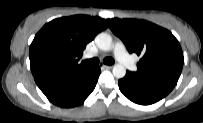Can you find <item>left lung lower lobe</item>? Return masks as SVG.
<instances>
[{"label":"left lung lower lobe","mask_w":203,"mask_h":123,"mask_svg":"<svg viewBox=\"0 0 203 123\" xmlns=\"http://www.w3.org/2000/svg\"><path fill=\"white\" fill-rule=\"evenodd\" d=\"M120 91L132 102L139 105L153 104L167 96L175 84L165 80L138 75L127 71L118 81Z\"/></svg>","instance_id":"1"}]
</instances>
